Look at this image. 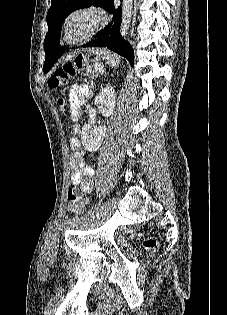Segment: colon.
<instances>
[{
    "label": "colon",
    "mask_w": 227,
    "mask_h": 315,
    "mask_svg": "<svg viewBox=\"0 0 227 315\" xmlns=\"http://www.w3.org/2000/svg\"><path fill=\"white\" fill-rule=\"evenodd\" d=\"M85 59L82 56L76 57L71 63L58 68L49 78L48 86L52 90L59 91L58 103L61 109L65 107L64 91L69 80L74 77L83 67ZM68 208L75 214L84 212L88 197L78 186V184H71L67 192ZM157 241L153 238H147L143 241V246L146 250L151 251L156 248Z\"/></svg>",
    "instance_id": "colon-1"
}]
</instances>
